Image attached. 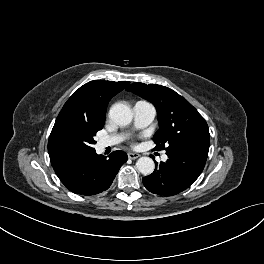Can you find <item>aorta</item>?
Here are the masks:
<instances>
[{"instance_id":"aorta-1","label":"aorta","mask_w":264,"mask_h":264,"mask_svg":"<svg viewBox=\"0 0 264 264\" xmlns=\"http://www.w3.org/2000/svg\"><path fill=\"white\" fill-rule=\"evenodd\" d=\"M109 118L116 125L125 126L131 123L133 113L128 105L116 103L110 108ZM136 168L141 174L149 175L153 173L155 163L150 157H141L136 162Z\"/></svg>"}]
</instances>
